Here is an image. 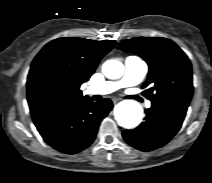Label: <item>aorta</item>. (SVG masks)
I'll use <instances>...</instances> for the list:
<instances>
[{
    "label": "aorta",
    "mask_w": 212,
    "mask_h": 183,
    "mask_svg": "<svg viewBox=\"0 0 212 183\" xmlns=\"http://www.w3.org/2000/svg\"><path fill=\"white\" fill-rule=\"evenodd\" d=\"M102 71L109 79H118L124 73V66L120 61L107 60ZM118 124L126 129L136 127L143 117V110L139 103L133 100H124L116 105L114 110Z\"/></svg>",
    "instance_id": "762f6f07"
}]
</instances>
